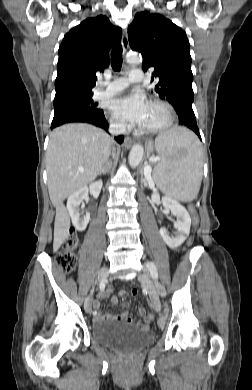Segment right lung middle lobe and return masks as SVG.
I'll return each mask as SVG.
<instances>
[{"label": "right lung middle lobe", "instance_id": "right-lung-middle-lobe-1", "mask_svg": "<svg viewBox=\"0 0 252 390\" xmlns=\"http://www.w3.org/2000/svg\"><path fill=\"white\" fill-rule=\"evenodd\" d=\"M97 105L98 104L92 100V94L78 95L54 101V110L80 109L96 113L103 112L101 109L97 108Z\"/></svg>", "mask_w": 252, "mask_h": 390}]
</instances>
